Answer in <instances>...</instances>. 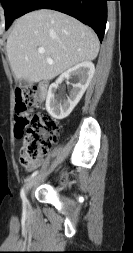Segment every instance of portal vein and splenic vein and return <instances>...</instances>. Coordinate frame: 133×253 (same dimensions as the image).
I'll return each instance as SVG.
<instances>
[{
  "mask_svg": "<svg viewBox=\"0 0 133 253\" xmlns=\"http://www.w3.org/2000/svg\"><path fill=\"white\" fill-rule=\"evenodd\" d=\"M38 52L40 54H44L45 53V49L44 48H38ZM47 61L50 63V64H53V60L51 58H48Z\"/></svg>",
  "mask_w": 133,
  "mask_h": 253,
  "instance_id": "1",
  "label": "portal vein and splenic vein"
}]
</instances>
